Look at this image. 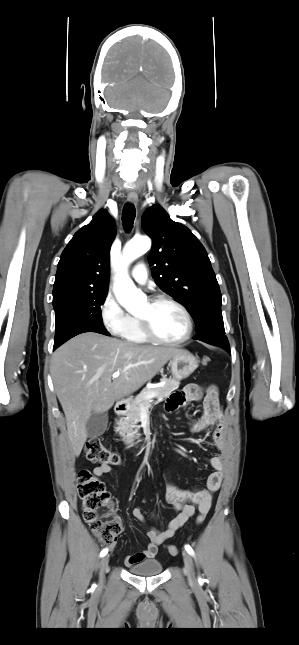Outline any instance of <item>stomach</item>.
<instances>
[{
    "mask_svg": "<svg viewBox=\"0 0 299 645\" xmlns=\"http://www.w3.org/2000/svg\"><path fill=\"white\" fill-rule=\"evenodd\" d=\"M169 364L173 376L177 380H182L189 377L197 369L198 360L189 351L182 350L170 359Z\"/></svg>",
    "mask_w": 299,
    "mask_h": 645,
    "instance_id": "0dacf381",
    "label": "stomach"
}]
</instances>
